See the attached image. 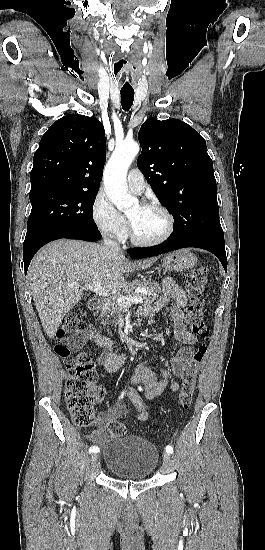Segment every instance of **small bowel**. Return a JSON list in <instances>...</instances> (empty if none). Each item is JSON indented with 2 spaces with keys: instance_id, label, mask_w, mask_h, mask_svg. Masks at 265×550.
I'll return each instance as SVG.
<instances>
[{
  "instance_id": "c3829d8e",
  "label": "small bowel",
  "mask_w": 265,
  "mask_h": 550,
  "mask_svg": "<svg viewBox=\"0 0 265 550\" xmlns=\"http://www.w3.org/2000/svg\"><path fill=\"white\" fill-rule=\"evenodd\" d=\"M162 289L163 296L156 304L154 306H141L138 310V315L149 317L151 323H153L154 316L171 304L170 317L174 322L175 336L181 343V346L170 359V369L163 368L156 370L148 361L140 362L135 367L134 373L131 376V382L139 385L148 398L159 396L167 387L174 392L179 390V382L171 379V375L177 378L183 376L185 364L191 358L194 352V344L197 342V336L186 328L184 322L183 308L186 304L184 291L170 278H166L163 281ZM91 340L94 341L96 346L103 349V352L97 359L98 363L107 371H117L124 362V354L116 352L112 341L97 332L94 327L90 326L84 332L66 339V343L73 349L78 350ZM128 396L135 407L137 419L141 422L147 421L149 414L143 399L133 388L129 390ZM125 413L126 407L122 404L111 407L99 417L98 427L91 432L89 439L96 444L103 443L106 437L107 425Z\"/></svg>"
}]
</instances>
